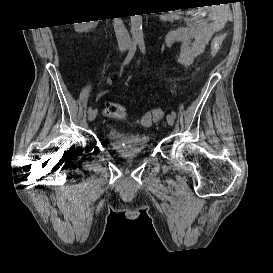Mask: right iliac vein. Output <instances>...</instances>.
<instances>
[{"instance_id":"right-iliac-vein-1","label":"right iliac vein","mask_w":273,"mask_h":273,"mask_svg":"<svg viewBox=\"0 0 273 273\" xmlns=\"http://www.w3.org/2000/svg\"><path fill=\"white\" fill-rule=\"evenodd\" d=\"M97 116V109H93L88 113V121L92 122Z\"/></svg>"}]
</instances>
